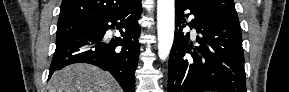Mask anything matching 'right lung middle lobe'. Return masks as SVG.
Returning a JSON list of instances; mask_svg holds the SVG:
<instances>
[{"label": "right lung middle lobe", "mask_w": 289, "mask_h": 92, "mask_svg": "<svg viewBox=\"0 0 289 92\" xmlns=\"http://www.w3.org/2000/svg\"><path fill=\"white\" fill-rule=\"evenodd\" d=\"M89 23L90 22L58 25L56 32V42L80 33L88 27Z\"/></svg>", "instance_id": "right-lung-middle-lobe-1"}]
</instances>
